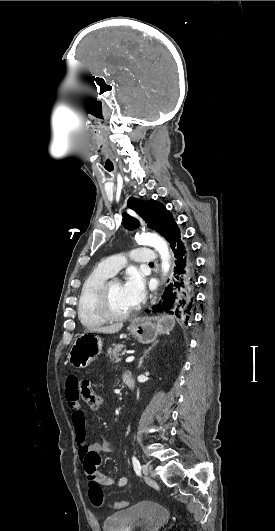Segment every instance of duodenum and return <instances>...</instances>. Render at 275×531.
Returning <instances> with one entry per match:
<instances>
[{
  "label": "duodenum",
  "instance_id": "duodenum-1",
  "mask_svg": "<svg viewBox=\"0 0 275 531\" xmlns=\"http://www.w3.org/2000/svg\"><path fill=\"white\" fill-rule=\"evenodd\" d=\"M123 381L126 384L130 392H133L134 389V378L131 372H125L123 374Z\"/></svg>",
  "mask_w": 275,
  "mask_h": 531
}]
</instances>
